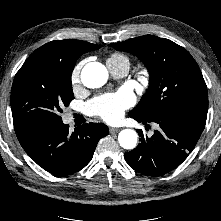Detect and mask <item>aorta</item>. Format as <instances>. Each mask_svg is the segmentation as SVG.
<instances>
[{"instance_id":"762f6f07","label":"aorta","mask_w":221,"mask_h":221,"mask_svg":"<svg viewBox=\"0 0 221 221\" xmlns=\"http://www.w3.org/2000/svg\"><path fill=\"white\" fill-rule=\"evenodd\" d=\"M108 80L106 67L99 62L86 64L81 71V81L88 88L102 87ZM138 134L132 129H124L118 135V142L124 149H134Z\"/></svg>"}]
</instances>
